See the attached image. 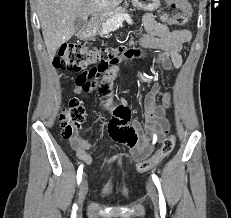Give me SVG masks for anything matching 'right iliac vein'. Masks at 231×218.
<instances>
[{
    "mask_svg": "<svg viewBox=\"0 0 231 218\" xmlns=\"http://www.w3.org/2000/svg\"><path fill=\"white\" fill-rule=\"evenodd\" d=\"M87 191H88V184H87L86 178L84 177L82 182H81L80 189H79V194H78L79 211L82 208V205H83L84 199L86 197Z\"/></svg>",
    "mask_w": 231,
    "mask_h": 218,
    "instance_id": "1",
    "label": "right iliac vein"
}]
</instances>
